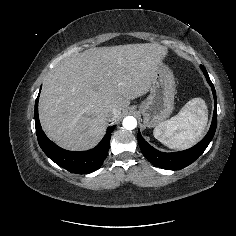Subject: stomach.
I'll return each mask as SVG.
<instances>
[{"label":"stomach","instance_id":"1","mask_svg":"<svg viewBox=\"0 0 236 236\" xmlns=\"http://www.w3.org/2000/svg\"><path fill=\"white\" fill-rule=\"evenodd\" d=\"M175 91L173 72L168 66L160 63L153 77L150 95L139 106L147 127H155L171 115Z\"/></svg>","mask_w":236,"mask_h":236}]
</instances>
